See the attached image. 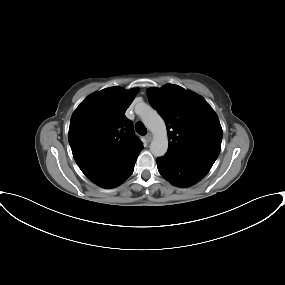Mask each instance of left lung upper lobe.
Returning <instances> with one entry per match:
<instances>
[{
	"mask_svg": "<svg viewBox=\"0 0 285 285\" xmlns=\"http://www.w3.org/2000/svg\"><path fill=\"white\" fill-rule=\"evenodd\" d=\"M147 96L165 120L169 138L167 154L212 167L220 152L223 132L206 100L172 84L161 89L150 88Z\"/></svg>",
	"mask_w": 285,
	"mask_h": 285,
	"instance_id": "obj_1",
	"label": "left lung upper lobe"
}]
</instances>
